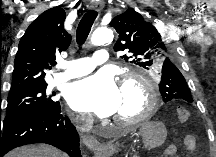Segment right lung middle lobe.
Masks as SVG:
<instances>
[{"mask_svg":"<svg viewBox=\"0 0 216 157\" xmlns=\"http://www.w3.org/2000/svg\"><path fill=\"white\" fill-rule=\"evenodd\" d=\"M46 88L47 85H43L10 92L7 100V113L3 125L18 121L33 114L55 110L60 105L59 101H53L51 96L46 94Z\"/></svg>","mask_w":216,"mask_h":157,"instance_id":"right-lung-middle-lobe-1","label":"right lung middle lobe"}]
</instances>
